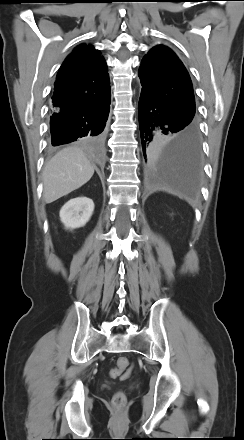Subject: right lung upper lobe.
Here are the masks:
<instances>
[{
	"instance_id": "right-lung-upper-lobe-1",
	"label": "right lung upper lobe",
	"mask_w": 244,
	"mask_h": 440,
	"mask_svg": "<svg viewBox=\"0 0 244 440\" xmlns=\"http://www.w3.org/2000/svg\"><path fill=\"white\" fill-rule=\"evenodd\" d=\"M104 58L91 45H80L65 59L57 74L53 111L68 112L110 95Z\"/></svg>"
}]
</instances>
